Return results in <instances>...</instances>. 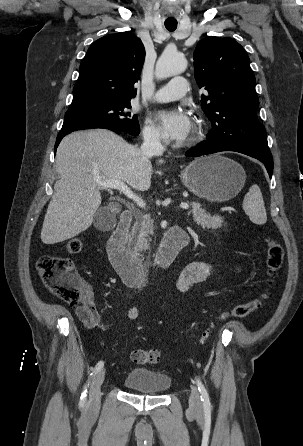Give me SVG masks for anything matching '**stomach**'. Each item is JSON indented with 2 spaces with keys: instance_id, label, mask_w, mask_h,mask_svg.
<instances>
[{
  "instance_id": "stomach-1",
  "label": "stomach",
  "mask_w": 303,
  "mask_h": 446,
  "mask_svg": "<svg viewBox=\"0 0 303 446\" xmlns=\"http://www.w3.org/2000/svg\"><path fill=\"white\" fill-rule=\"evenodd\" d=\"M180 177L184 185L199 198L224 202L241 191L246 173L239 163L215 154L195 159L181 172Z\"/></svg>"
}]
</instances>
